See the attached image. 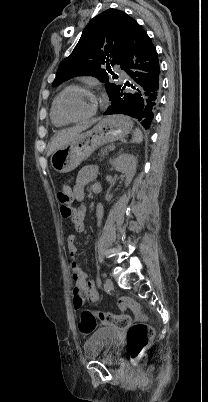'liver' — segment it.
I'll return each instance as SVG.
<instances>
[{
	"label": "liver",
	"mask_w": 208,
	"mask_h": 402,
	"mask_svg": "<svg viewBox=\"0 0 208 402\" xmlns=\"http://www.w3.org/2000/svg\"><path fill=\"white\" fill-rule=\"evenodd\" d=\"M95 122H98V120H92V122H88V124H82V126H74V128H66V130H60V132H57V134L53 136L49 144L47 156H50V154H53V152H56V150H59V148H63L65 144H69V142H74L76 138H79V136H81V132H84V130H88V128H90V126H93Z\"/></svg>",
	"instance_id": "obj_1"
}]
</instances>
